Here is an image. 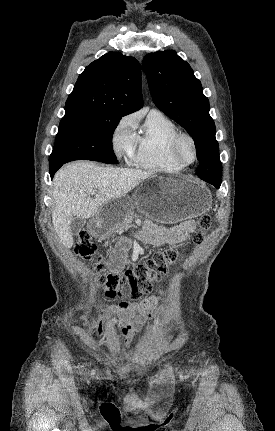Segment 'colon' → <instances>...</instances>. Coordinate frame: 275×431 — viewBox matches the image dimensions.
I'll return each mask as SVG.
<instances>
[{"mask_svg": "<svg viewBox=\"0 0 275 431\" xmlns=\"http://www.w3.org/2000/svg\"><path fill=\"white\" fill-rule=\"evenodd\" d=\"M197 223L199 232L194 237V242L200 244L204 233L211 228L212 218L209 215H202ZM96 250L97 247L91 238L85 233L81 234L75 245V253L90 259L95 255ZM177 258L178 253L175 250L167 249L155 253L149 260L138 263L121 274L105 273L101 261L98 260L95 271L97 281L109 298H121L126 294L134 297L139 292L148 293L151 291L153 283L168 272Z\"/></svg>", "mask_w": 275, "mask_h": 431, "instance_id": "colon-1", "label": "colon"}]
</instances>
